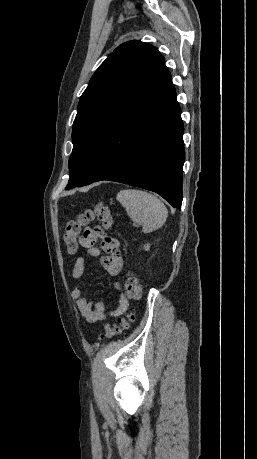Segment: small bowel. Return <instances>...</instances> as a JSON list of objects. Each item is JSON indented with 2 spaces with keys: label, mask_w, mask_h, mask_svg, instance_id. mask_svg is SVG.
Wrapping results in <instances>:
<instances>
[{
  "label": "small bowel",
  "mask_w": 257,
  "mask_h": 459,
  "mask_svg": "<svg viewBox=\"0 0 257 459\" xmlns=\"http://www.w3.org/2000/svg\"><path fill=\"white\" fill-rule=\"evenodd\" d=\"M73 234H79V229H73ZM100 239V247L96 246L97 240ZM80 245L86 248V254L90 257L100 256L101 250L104 255L100 257L102 267L111 276L118 275L123 267V260L119 250V240L106 235L100 227L87 230L86 234L80 240ZM86 269V261L84 257H78L75 260L72 270V278L78 280L82 278ZM115 290L120 293L118 307L114 310H108L107 305L103 301H92L84 295L82 288L76 287L72 290L71 296L76 300V306L79 314L89 323L102 321L106 314L111 316H119L128 308V299L122 293L121 284L115 281L113 284Z\"/></svg>",
  "instance_id": "1"
}]
</instances>
